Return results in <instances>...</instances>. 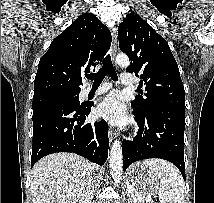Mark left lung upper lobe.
<instances>
[{
    "label": "left lung upper lobe",
    "instance_id": "left-lung-upper-lobe-1",
    "mask_svg": "<svg viewBox=\"0 0 214 203\" xmlns=\"http://www.w3.org/2000/svg\"><path fill=\"white\" fill-rule=\"evenodd\" d=\"M118 36L120 50L131 59L126 71L140 77L146 91L131 102L133 111L145 115L161 107L185 109L184 86L166 40L133 13L119 25Z\"/></svg>",
    "mask_w": 214,
    "mask_h": 203
}]
</instances>
